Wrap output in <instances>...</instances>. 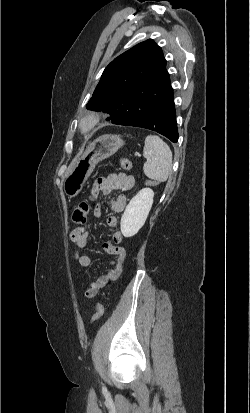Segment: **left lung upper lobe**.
Masks as SVG:
<instances>
[{"instance_id": "5c2ea615", "label": "left lung upper lobe", "mask_w": 250, "mask_h": 413, "mask_svg": "<svg viewBox=\"0 0 250 413\" xmlns=\"http://www.w3.org/2000/svg\"><path fill=\"white\" fill-rule=\"evenodd\" d=\"M164 75L167 71L162 49L151 39L141 42L105 68L86 107L114 115L139 84L146 85Z\"/></svg>"}]
</instances>
